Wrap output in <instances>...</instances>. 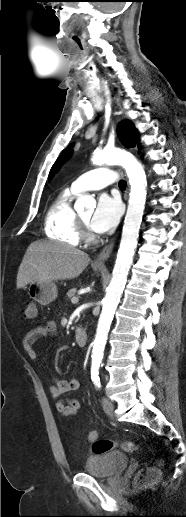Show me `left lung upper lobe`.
Instances as JSON below:
<instances>
[{"label": "left lung upper lobe", "mask_w": 186, "mask_h": 517, "mask_svg": "<svg viewBox=\"0 0 186 517\" xmlns=\"http://www.w3.org/2000/svg\"><path fill=\"white\" fill-rule=\"evenodd\" d=\"M118 136L122 144L127 147L131 148L134 147L138 143V134L137 131L133 125V123L129 121H124L119 123L118 125ZM72 151V146H69L67 149H65L59 158L56 160L54 165L52 166L50 173H49V179H51L56 172V170L60 167V165L69 157L70 153Z\"/></svg>", "instance_id": "left-lung-upper-lobe-1"}]
</instances>
